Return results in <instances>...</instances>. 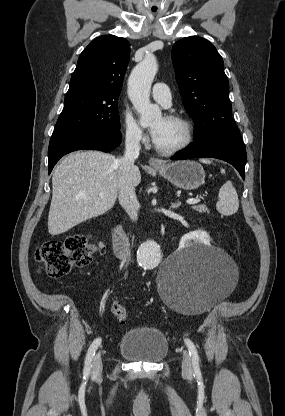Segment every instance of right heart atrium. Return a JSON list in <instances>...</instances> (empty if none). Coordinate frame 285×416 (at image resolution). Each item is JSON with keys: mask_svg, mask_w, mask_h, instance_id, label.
<instances>
[{"mask_svg": "<svg viewBox=\"0 0 285 416\" xmlns=\"http://www.w3.org/2000/svg\"><path fill=\"white\" fill-rule=\"evenodd\" d=\"M124 127L126 139L130 144L141 145L146 143L147 137L142 127L129 112L124 114Z\"/></svg>", "mask_w": 285, "mask_h": 416, "instance_id": "obj_1", "label": "right heart atrium"}]
</instances>
